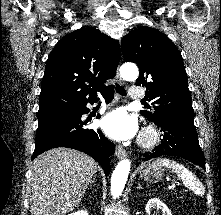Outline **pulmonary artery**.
<instances>
[{
    "instance_id": "e3ab8cb5",
    "label": "pulmonary artery",
    "mask_w": 221,
    "mask_h": 215,
    "mask_svg": "<svg viewBox=\"0 0 221 215\" xmlns=\"http://www.w3.org/2000/svg\"><path fill=\"white\" fill-rule=\"evenodd\" d=\"M129 95L132 99H140L143 97V91L139 87H132L129 90Z\"/></svg>"
}]
</instances>
